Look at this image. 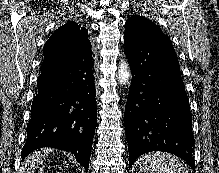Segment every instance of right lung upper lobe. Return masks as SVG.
<instances>
[{"mask_svg":"<svg viewBox=\"0 0 219 173\" xmlns=\"http://www.w3.org/2000/svg\"><path fill=\"white\" fill-rule=\"evenodd\" d=\"M88 32L75 22H67L58 28L43 48L44 61L63 65L74 56L91 57V44Z\"/></svg>","mask_w":219,"mask_h":173,"instance_id":"obj_1","label":"right lung upper lobe"}]
</instances>
